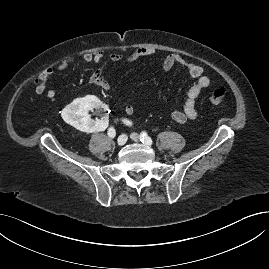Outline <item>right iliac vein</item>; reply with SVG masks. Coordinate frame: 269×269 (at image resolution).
Instances as JSON below:
<instances>
[{
	"instance_id": "obj_1",
	"label": "right iliac vein",
	"mask_w": 269,
	"mask_h": 269,
	"mask_svg": "<svg viewBox=\"0 0 269 269\" xmlns=\"http://www.w3.org/2000/svg\"><path fill=\"white\" fill-rule=\"evenodd\" d=\"M127 141V136L125 134L119 136L118 140H117V144L119 146H123Z\"/></svg>"
}]
</instances>
